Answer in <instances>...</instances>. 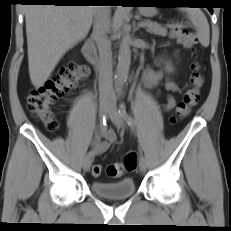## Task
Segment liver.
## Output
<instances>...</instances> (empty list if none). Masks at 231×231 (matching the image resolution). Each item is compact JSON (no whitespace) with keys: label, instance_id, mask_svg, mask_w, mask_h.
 I'll list each match as a JSON object with an SVG mask.
<instances>
[{"label":"liver","instance_id":"6515ba94","mask_svg":"<svg viewBox=\"0 0 231 231\" xmlns=\"http://www.w3.org/2000/svg\"><path fill=\"white\" fill-rule=\"evenodd\" d=\"M94 10L88 5L24 8L29 75L36 88L44 85L64 54L87 36Z\"/></svg>","mask_w":231,"mask_h":231}]
</instances>
